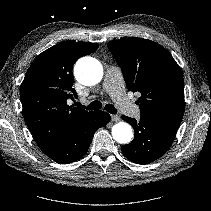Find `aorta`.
I'll return each instance as SVG.
<instances>
[{"mask_svg":"<svg viewBox=\"0 0 211 211\" xmlns=\"http://www.w3.org/2000/svg\"><path fill=\"white\" fill-rule=\"evenodd\" d=\"M74 74L78 82L85 86H92L101 81L103 68L95 58L84 57L76 63ZM112 136L118 143L127 144L133 137L132 128L126 122H119L112 127Z\"/></svg>","mask_w":211,"mask_h":211,"instance_id":"1","label":"aorta"}]
</instances>
